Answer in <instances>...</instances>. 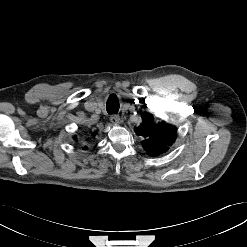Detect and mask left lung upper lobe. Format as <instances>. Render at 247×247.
Segmentation results:
<instances>
[{
    "instance_id": "1",
    "label": "left lung upper lobe",
    "mask_w": 247,
    "mask_h": 247,
    "mask_svg": "<svg viewBox=\"0 0 247 247\" xmlns=\"http://www.w3.org/2000/svg\"><path fill=\"white\" fill-rule=\"evenodd\" d=\"M135 132L144 138L143 147L151 156L166 152L176 137L174 126L164 121L156 123L153 116L145 112L142 114V124L135 128Z\"/></svg>"
}]
</instances>
